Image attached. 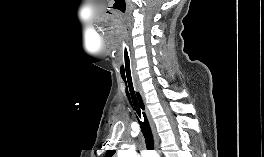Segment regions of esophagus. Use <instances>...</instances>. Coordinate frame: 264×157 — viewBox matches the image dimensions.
<instances>
[{
  "mask_svg": "<svg viewBox=\"0 0 264 157\" xmlns=\"http://www.w3.org/2000/svg\"><path fill=\"white\" fill-rule=\"evenodd\" d=\"M136 90L140 93L141 97H142V100H143V103H144V110H145V113L148 117V120L150 122V125H151V128H152V131H153V135H154V142H155V148L158 150V146H159V140H158V136H157V133H156V129H155V125H154V122L152 120V117H151V114H150V111L147 107V104H146V100H145V97H144V94L142 93V91L139 89V88H136Z\"/></svg>",
  "mask_w": 264,
  "mask_h": 157,
  "instance_id": "obj_1",
  "label": "esophagus"
}]
</instances>
